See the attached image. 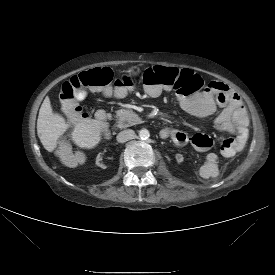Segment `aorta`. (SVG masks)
<instances>
[{
	"label": "aorta",
	"mask_w": 275,
	"mask_h": 275,
	"mask_svg": "<svg viewBox=\"0 0 275 275\" xmlns=\"http://www.w3.org/2000/svg\"><path fill=\"white\" fill-rule=\"evenodd\" d=\"M139 136L141 139H147L150 136V133L147 129H141L139 131Z\"/></svg>",
	"instance_id": "1"
}]
</instances>
